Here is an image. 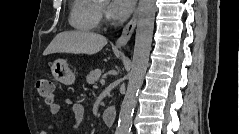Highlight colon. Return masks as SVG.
I'll return each instance as SVG.
<instances>
[{"instance_id":"1","label":"colon","mask_w":239,"mask_h":134,"mask_svg":"<svg viewBox=\"0 0 239 134\" xmlns=\"http://www.w3.org/2000/svg\"><path fill=\"white\" fill-rule=\"evenodd\" d=\"M38 94L48 103L53 101L54 85L49 78L40 77L36 81Z\"/></svg>"}]
</instances>
